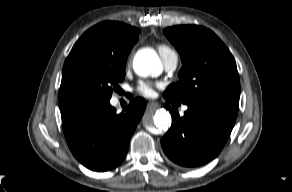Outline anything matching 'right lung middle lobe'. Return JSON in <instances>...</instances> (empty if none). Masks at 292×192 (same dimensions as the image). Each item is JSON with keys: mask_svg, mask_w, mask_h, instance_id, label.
Segmentation results:
<instances>
[{"mask_svg": "<svg viewBox=\"0 0 292 192\" xmlns=\"http://www.w3.org/2000/svg\"><path fill=\"white\" fill-rule=\"evenodd\" d=\"M127 55L112 52L96 32L86 31L64 63L59 95L83 94L109 100L124 80Z\"/></svg>", "mask_w": 292, "mask_h": 192, "instance_id": "right-lung-middle-lobe-1", "label": "right lung middle lobe"}]
</instances>
